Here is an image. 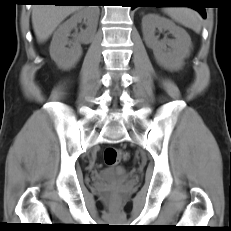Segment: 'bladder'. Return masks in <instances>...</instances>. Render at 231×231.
Returning <instances> with one entry per match:
<instances>
[{
  "mask_svg": "<svg viewBox=\"0 0 231 231\" xmlns=\"http://www.w3.org/2000/svg\"><path fill=\"white\" fill-rule=\"evenodd\" d=\"M129 172L125 168L104 169L94 176V180L100 183H116L126 180Z\"/></svg>",
  "mask_w": 231,
  "mask_h": 231,
  "instance_id": "31cf9c89",
  "label": "bladder"
}]
</instances>
